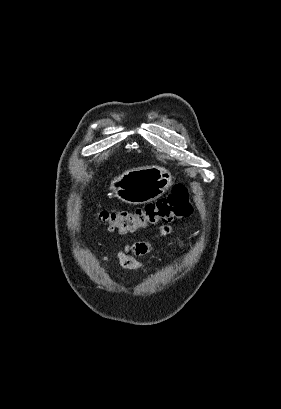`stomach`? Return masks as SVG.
Returning a JSON list of instances; mask_svg holds the SVG:
<instances>
[{
	"label": "stomach",
	"instance_id": "obj_1",
	"mask_svg": "<svg viewBox=\"0 0 281 409\" xmlns=\"http://www.w3.org/2000/svg\"><path fill=\"white\" fill-rule=\"evenodd\" d=\"M174 176L164 166H140L125 170L111 180L110 190L114 196L130 202V205H143L162 196L172 186Z\"/></svg>",
	"mask_w": 281,
	"mask_h": 409
}]
</instances>
